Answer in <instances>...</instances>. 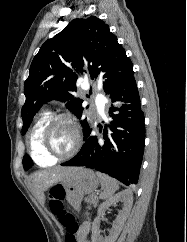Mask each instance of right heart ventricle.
Returning a JSON list of instances; mask_svg holds the SVG:
<instances>
[{"label": "right heart ventricle", "instance_id": "right-heart-ventricle-1", "mask_svg": "<svg viewBox=\"0 0 187 242\" xmlns=\"http://www.w3.org/2000/svg\"><path fill=\"white\" fill-rule=\"evenodd\" d=\"M48 119V113H43L36 121L30 135V155L42 167L51 166L56 163V160L45 156L40 148V135Z\"/></svg>", "mask_w": 187, "mask_h": 242}]
</instances>
